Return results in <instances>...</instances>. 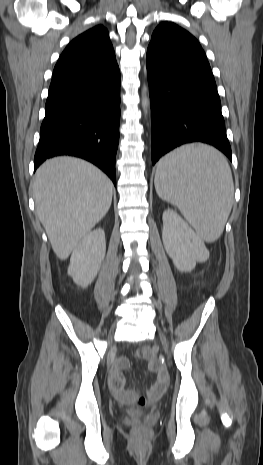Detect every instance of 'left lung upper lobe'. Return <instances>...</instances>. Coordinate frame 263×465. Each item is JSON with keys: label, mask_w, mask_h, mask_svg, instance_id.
I'll list each match as a JSON object with an SVG mask.
<instances>
[{"label": "left lung upper lobe", "mask_w": 263, "mask_h": 465, "mask_svg": "<svg viewBox=\"0 0 263 465\" xmlns=\"http://www.w3.org/2000/svg\"><path fill=\"white\" fill-rule=\"evenodd\" d=\"M149 47L173 55L207 59L196 38L171 22H163L155 29Z\"/></svg>", "instance_id": "5c2ea615"}]
</instances>
